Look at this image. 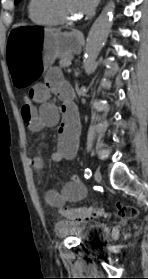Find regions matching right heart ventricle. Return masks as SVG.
<instances>
[{
    "mask_svg": "<svg viewBox=\"0 0 148 279\" xmlns=\"http://www.w3.org/2000/svg\"><path fill=\"white\" fill-rule=\"evenodd\" d=\"M30 20L39 26H55L58 24L41 6V0H29L27 5Z\"/></svg>",
    "mask_w": 148,
    "mask_h": 279,
    "instance_id": "e07e8e85",
    "label": "right heart ventricle"
}]
</instances>
